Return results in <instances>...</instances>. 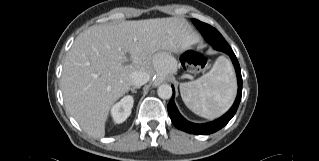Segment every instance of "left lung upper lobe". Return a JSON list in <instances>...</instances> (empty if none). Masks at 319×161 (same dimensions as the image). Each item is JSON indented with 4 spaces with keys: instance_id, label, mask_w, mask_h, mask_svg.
<instances>
[{
    "instance_id": "obj_1",
    "label": "left lung upper lobe",
    "mask_w": 319,
    "mask_h": 161,
    "mask_svg": "<svg viewBox=\"0 0 319 161\" xmlns=\"http://www.w3.org/2000/svg\"><path fill=\"white\" fill-rule=\"evenodd\" d=\"M192 22L194 23V25L198 28V26H202V28H204L203 30L199 29L198 30L200 32H206V31H209L212 33L209 34V36L211 38H208V37H204L206 39V41L211 44L213 46L214 49L216 50H219V51H222V49L224 47H228V43L225 41V39L223 38V36L215 29L213 28L212 26L206 24V23H203L197 19H192Z\"/></svg>"
}]
</instances>
